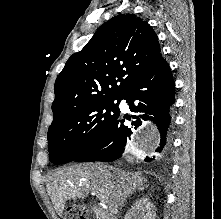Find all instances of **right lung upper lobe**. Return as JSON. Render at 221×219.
<instances>
[{"label":"right lung upper lobe","mask_w":221,"mask_h":219,"mask_svg":"<svg viewBox=\"0 0 221 219\" xmlns=\"http://www.w3.org/2000/svg\"><path fill=\"white\" fill-rule=\"evenodd\" d=\"M160 56L157 35L146 21L135 14L113 17L58 75L53 122L85 104L120 99Z\"/></svg>","instance_id":"obj_1"}]
</instances>
